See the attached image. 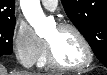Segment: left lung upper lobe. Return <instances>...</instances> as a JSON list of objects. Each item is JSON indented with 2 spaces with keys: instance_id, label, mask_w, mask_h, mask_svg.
<instances>
[{
  "instance_id": "obj_1",
  "label": "left lung upper lobe",
  "mask_w": 107,
  "mask_h": 75,
  "mask_svg": "<svg viewBox=\"0 0 107 75\" xmlns=\"http://www.w3.org/2000/svg\"><path fill=\"white\" fill-rule=\"evenodd\" d=\"M77 29L88 41L95 55L99 49L107 53V0H61ZM107 67V54L104 57Z\"/></svg>"
}]
</instances>
